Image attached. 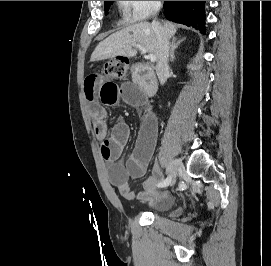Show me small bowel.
Masks as SVG:
<instances>
[{
	"label": "small bowel",
	"instance_id": "c3829d8e",
	"mask_svg": "<svg viewBox=\"0 0 271 266\" xmlns=\"http://www.w3.org/2000/svg\"><path fill=\"white\" fill-rule=\"evenodd\" d=\"M84 94L90 104L89 114L93 120L95 135L101 141L102 156L110 163L111 184L125 199L140 200L150 206L170 205L173 201L172 196L156 188L157 182L162 178L158 167L144 181L142 191L135 192L129 186V179L140 178L146 173L157 140L156 117L146 106L137 87L130 82L117 84L102 73H92L85 78ZM120 101L134 108L146 109L134 149L125 162L119 158L129 140L130 127L124 119L119 118L109 131L105 110V107L117 106Z\"/></svg>",
	"mask_w": 271,
	"mask_h": 266
}]
</instances>
